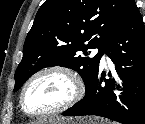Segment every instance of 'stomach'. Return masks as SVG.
I'll use <instances>...</instances> for the list:
<instances>
[{"label":"stomach","instance_id":"obj_1","mask_svg":"<svg viewBox=\"0 0 145 124\" xmlns=\"http://www.w3.org/2000/svg\"><path fill=\"white\" fill-rule=\"evenodd\" d=\"M43 124H106L97 118H58L46 121Z\"/></svg>","mask_w":145,"mask_h":124}]
</instances>
